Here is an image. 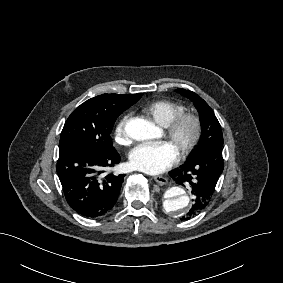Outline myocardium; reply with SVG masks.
<instances>
[{"label": "myocardium", "instance_id": "myocardium-1", "mask_svg": "<svg viewBox=\"0 0 283 283\" xmlns=\"http://www.w3.org/2000/svg\"><path fill=\"white\" fill-rule=\"evenodd\" d=\"M189 124L192 128L190 138L180 149V158H186L198 146L202 136L201 118L194 113H182L175 117L165 128L166 135L170 139H175L184 125Z\"/></svg>", "mask_w": 283, "mask_h": 283}]
</instances>
